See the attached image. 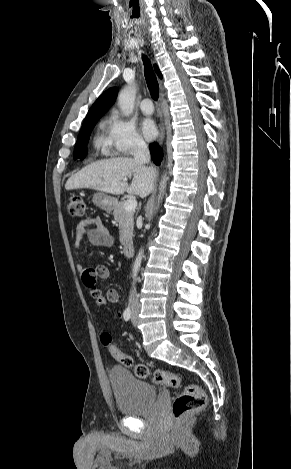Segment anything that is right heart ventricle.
Here are the masks:
<instances>
[{
    "mask_svg": "<svg viewBox=\"0 0 291 469\" xmlns=\"http://www.w3.org/2000/svg\"><path fill=\"white\" fill-rule=\"evenodd\" d=\"M94 146L97 150H100L105 154L109 152L106 146V141L102 135H97L94 141Z\"/></svg>",
    "mask_w": 291,
    "mask_h": 469,
    "instance_id": "obj_1",
    "label": "right heart ventricle"
}]
</instances>
